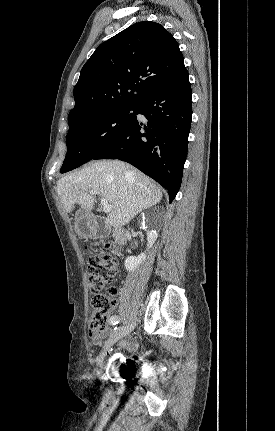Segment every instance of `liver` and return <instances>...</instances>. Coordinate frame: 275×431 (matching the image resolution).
<instances>
[{"label":"liver","mask_w":275,"mask_h":431,"mask_svg":"<svg viewBox=\"0 0 275 431\" xmlns=\"http://www.w3.org/2000/svg\"><path fill=\"white\" fill-rule=\"evenodd\" d=\"M91 190L97 191L111 205L107 221L115 228L128 224L142 210L162 199V191L155 182L133 166L118 160L92 162L57 182V193L67 213L72 211L75 203L90 212L95 202L89 193Z\"/></svg>","instance_id":"liver-1"}]
</instances>
